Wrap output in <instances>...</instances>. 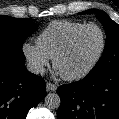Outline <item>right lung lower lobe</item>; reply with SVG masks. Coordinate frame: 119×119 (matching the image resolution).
Returning <instances> with one entry per match:
<instances>
[{"mask_svg":"<svg viewBox=\"0 0 119 119\" xmlns=\"http://www.w3.org/2000/svg\"><path fill=\"white\" fill-rule=\"evenodd\" d=\"M25 61L0 60V119H25L45 97L44 80L24 66Z\"/></svg>","mask_w":119,"mask_h":119,"instance_id":"obj_1","label":"right lung lower lobe"}]
</instances>
